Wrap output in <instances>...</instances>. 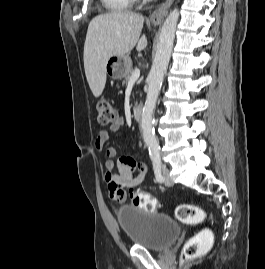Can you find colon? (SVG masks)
Here are the masks:
<instances>
[{"instance_id": "5ec220e1", "label": "colon", "mask_w": 265, "mask_h": 269, "mask_svg": "<svg viewBox=\"0 0 265 269\" xmlns=\"http://www.w3.org/2000/svg\"><path fill=\"white\" fill-rule=\"evenodd\" d=\"M98 122L102 126L114 124L118 120L116 109L106 100L101 99L96 105ZM132 204L146 211H155L158 208V201L152 195L134 190L131 193ZM177 218L184 223H198L205 217L204 212L196 205L190 203L180 204L176 209ZM209 230H203L193 236L184 246L183 259L196 258L202 251L205 241L210 237Z\"/></svg>"}]
</instances>
